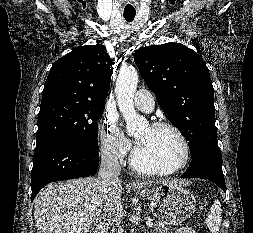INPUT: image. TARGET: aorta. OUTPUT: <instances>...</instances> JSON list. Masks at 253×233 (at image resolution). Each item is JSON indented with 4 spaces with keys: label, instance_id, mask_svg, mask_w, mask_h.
<instances>
[{
    "label": "aorta",
    "instance_id": "aorta-1",
    "mask_svg": "<svg viewBox=\"0 0 253 233\" xmlns=\"http://www.w3.org/2000/svg\"><path fill=\"white\" fill-rule=\"evenodd\" d=\"M137 85L138 74L134 67H127L120 70L115 93L119 110L125 119L129 134H134L147 124L146 119L138 115L134 108L133 99Z\"/></svg>",
    "mask_w": 253,
    "mask_h": 233
}]
</instances>
